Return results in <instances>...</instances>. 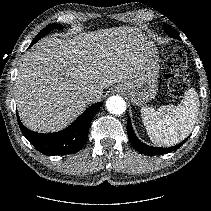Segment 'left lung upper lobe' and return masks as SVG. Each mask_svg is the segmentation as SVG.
Here are the masks:
<instances>
[{
	"label": "left lung upper lobe",
	"instance_id": "left-lung-upper-lobe-1",
	"mask_svg": "<svg viewBox=\"0 0 211 211\" xmlns=\"http://www.w3.org/2000/svg\"><path fill=\"white\" fill-rule=\"evenodd\" d=\"M164 29H165V32L167 33V35H169L170 37H173L176 39L180 38L178 36V34L174 31V29L166 23L164 24Z\"/></svg>",
	"mask_w": 211,
	"mask_h": 211
}]
</instances>
